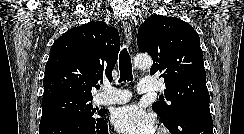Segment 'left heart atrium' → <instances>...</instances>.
Masks as SVG:
<instances>
[{"instance_id":"1","label":"left heart atrium","mask_w":244,"mask_h":134,"mask_svg":"<svg viewBox=\"0 0 244 134\" xmlns=\"http://www.w3.org/2000/svg\"><path fill=\"white\" fill-rule=\"evenodd\" d=\"M111 121L122 134H156L153 117L138 105L117 108Z\"/></svg>"}]
</instances>
